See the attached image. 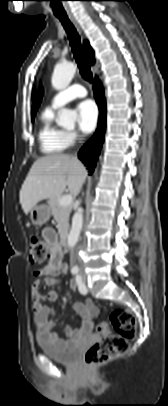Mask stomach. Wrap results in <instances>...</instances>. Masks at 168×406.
<instances>
[{
    "mask_svg": "<svg viewBox=\"0 0 168 406\" xmlns=\"http://www.w3.org/2000/svg\"><path fill=\"white\" fill-rule=\"evenodd\" d=\"M50 215V207L45 204L35 205L30 211V219L34 225H43L49 220Z\"/></svg>",
    "mask_w": 168,
    "mask_h": 406,
    "instance_id": "0dacf381",
    "label": "stomach"
}]
</instances>
